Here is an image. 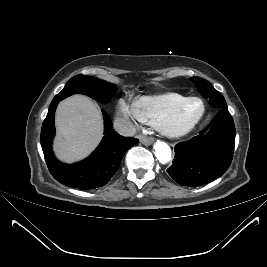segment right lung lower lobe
Listing matches in <instances>:
<instances>
[{
  "mask_svg": "<svg viewBox=\"0 0 267 267\" xmlns=\"http://www.w3.org/2000/svg\"><path fill=\"white\" fill-rule=\"evenodd\" d=\"M58 102H51L41 130V145L51 174L60 183L73 188L86 190L104 186L118 170L125 152L136 144L138 139L120 136L112 130V122L102 110L105 130L100 145L87 159L73 165L63 164L54 157L51 146Z\"/></svg>",
  "mask_w": 267,
  "mask_h": 267,
  "instance_id": "obj_1",
  "label": "right lung lower lobe"
}]
</instances>
